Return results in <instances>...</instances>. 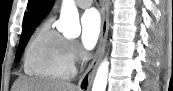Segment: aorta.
Instances as JSON below:
<instances>
[{
	"label": "aorta",
	"instance_id": "1",
	"mask_svg": "<svg viewBox=\"0 0 173 91\" xmlns=\"http://www.w3.org/2000/svg\"><path fill=\"white\" fill-rule=\"evenodd\" d=\"M58 29L70 37H77L81 27L74 0H63ZM108 62L101 63L95 76L92 91H105L108 78Z\"/></svg>",
	"mask_w": 173,
	"mask_h": 91
}]
</instances>
